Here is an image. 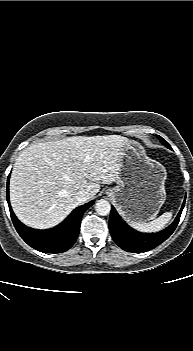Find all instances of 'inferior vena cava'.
<instances>
[{
  "label": "inferior vena cava",
  "mask_w": 193,
  "mask_h": 351,
  "mask_svg": "<svg viewBox=\"0 0 193 351\" xmlns=\"http://www.w3.org/2000/svg\"><path fill=\"white\" fill-rule=\"evenodd\" d=\"M76 199L79 204L86 202L89 199V192L88 191H81L77 194Z\"/></svg>",
  "instance_id": "602c4592"
}]
</instances>
